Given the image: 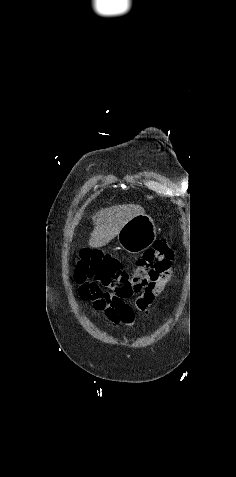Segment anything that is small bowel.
Returning a JSON list of instances; mask_svg holds the SVG:
<instances>
[{
    "label": "small bowel",
    "mask_w": 236,
    "mask_h": 477,
    "mask_svg": "<svg viewBox=\"0 0 236 477\" xmlns=\"http://www.w3.org/2000/svg\"><path fill=\"white\" fill-rule=\"evenodd\" d=\"M161 289L162 288L145 293L144 295L138 297L135 301V307L143 313H148L155 296L161 291ZM93 307L96 311L103 312L105 317L114 324H123L129 327L134 325V312L132 308L121 312L119 309H114L106 304L102 305L101 307Z\"/></svg>",
    "instance_id": "c3829d8e"
}]
</instances>
